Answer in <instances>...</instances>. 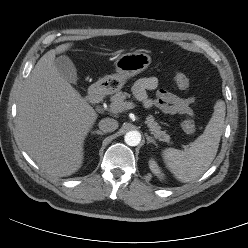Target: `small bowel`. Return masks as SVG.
<instances>
[{"label": "small bowel", "instance_id": "obj_1", "mask_svg": "<svg viewBox=\"0 0 248 248\" xmlns=\"http://www.w3.org/2000/svg\"><path fill=\"white\" fill-rule=\"evenodd\" d=\"M158 88V80L154 76L142 77L133 86L135 97L141 101L145 107H156L164 114L168 115H193L191 105L194 98H182L166 90ZM157 90L154 99L148 96V92Z\"/></svg>", "mask_w": 248, "mask_h": 248}]
</instances>
